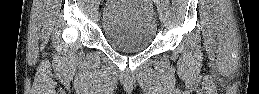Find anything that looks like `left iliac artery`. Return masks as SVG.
Masks as SVG:
<instances>
[{"label":"left iliac artery","mask_w":259,"mask_h":94,"mask_svg":"<svg viewBox=\"0 0 259 94\" xmlns=\"http://www.w3.org/2000/svg\"><path fill=\"white\" fill-rule=\"evenodd\" d=\"M155 3H156L157 5H160V0H155Z\"/></svg>","instance_id":"left-iliac-artery-1"}]
</instances>
